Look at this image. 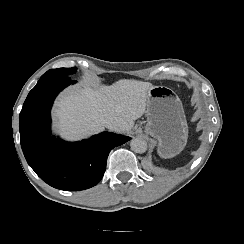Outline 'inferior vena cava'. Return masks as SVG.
Masks as SVG:
<instances>
[{"instance_id": "inferior-vena-cava-1", "label": "inferior vena cava", "mask_w": 244, "mask_h": 244, "mask_svg": "<svg viewBox=\"0 0 244 244\" xmlns=\"http://www.w3.org/2000/svg\"><path fill=\"white\" fill-rule=\"evenodd\" d=\"M102 123L111 130H114V131L121 130V124L112 119H102Z\"/></svg>"}]
</instances>
